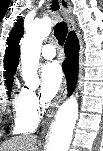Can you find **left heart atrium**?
<instances>
[{
  "label": "left heart atrium",
  "instance_id": "39dd6f15",
  "mask_svg": "<svg viewBox=\"0 0 103 151\" xmlns=\"http://www.w3.org/2000/svg\"><path fill=\"white\" fill-rule=\"evenodd\" d=\"M62 71L57 63H49L41 73V97L45 102L51 101L62 85Z\"/></svg>",
  "mask_w": 103,
  "mask_h": 151
}]
</instances>
